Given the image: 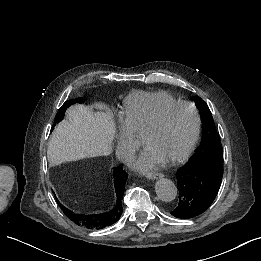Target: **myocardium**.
<instances>
[{"mask_svg": "<svg viewBox=\"0 0 261 261\" xmlns=\"http://www.w3.org/2000/svg\"><path fill=\"white\" fill-rule=\"evenodd\" d=\"M175 106L184 107V108H187L188 110H190L194 116L195 123H194V128H193L192 134H191L188 142L186 143V145L178 153L171 155L167 158L161 159V161L164 164H172V163L183 160L195 146L197 139L199 137L201 125H202V118H201V115H200V112L198 111V109L195 106H193L191 103L185 102V101L168 102L165 105H163L161 108H159L157 111H155L151 114L142 116L138 120L137 125H136V127H137L141 124H144L145 122H147L149 120L155 119L165 110H167L171 107H175Z\"/></svg>", "mask_w": 261, "mask_h": 261, "instance_id": "obj_1", "label": "myocardium"}]
</instances>
